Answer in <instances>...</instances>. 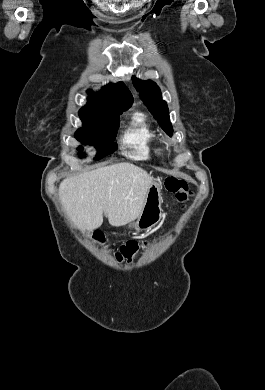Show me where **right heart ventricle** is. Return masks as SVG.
I'll return each instance as SVG.
<instances>
[{"label":"right heart ventricle","mask_w":265,"mask_h":390,"mask_svg":"<svg viewBox=\"0 0 265 390\" xmlns=\"http://www.w3.org/2000/svg\"><path fill=\"white\" fill-rule=\"evenodd\" d=\"M123 143L129 148L131 158L146 160L158 142V135L151 127L146 115L135 112L131 116L130 126L123 135Z\"/></svg>","instance_id":"e07e8e85"}]
</instances>
